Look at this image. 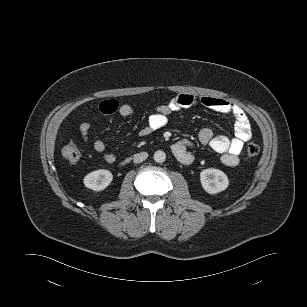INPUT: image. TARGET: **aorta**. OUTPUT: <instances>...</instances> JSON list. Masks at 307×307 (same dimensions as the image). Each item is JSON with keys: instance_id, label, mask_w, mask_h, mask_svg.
I'll list each match as a JSON object with an SVG mask.
<instances>
[{"instance_id": "762f6f07", "label": "aorta", "mask_w": 307, "mask_h": 307, "mask_svg": "<svg viewBox=\"0 0 307 307\" xmlns=\"http://www.w3.org/2000/svg\"><path fill=\"white\" fill-rule=\"evenodd\" d=\"M153 158L157 163H163L166 160V154L162 150H158L154 153Z\"/></svg>"}]
</instances>
